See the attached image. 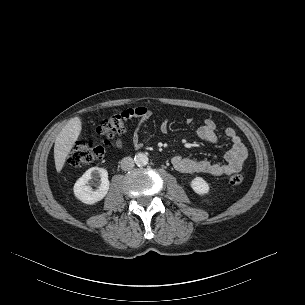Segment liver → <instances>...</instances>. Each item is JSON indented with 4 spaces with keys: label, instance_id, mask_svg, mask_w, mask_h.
Masks as SVG:
<instances>
[{
    "label": "liver",
    "instance_id": "liver-1",
    "mask_svg": "<svg viewBox=\"0 0 305 305\" xmlns=\"http://www.w3.org/2000/svg\"><path fill=\"white\" fill-rule=\"evenodd\" d=\"M81 130V119L74 117L69 120L58 134L54 145L55 168L58 173L63 169L66 158L78 139Z\"/></svg>",
    "mask_w": 305,
    "mask_h": 305
}]
</instances>
